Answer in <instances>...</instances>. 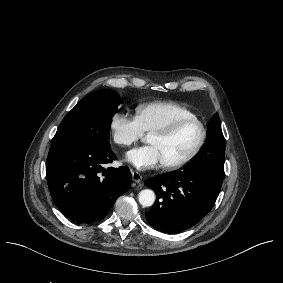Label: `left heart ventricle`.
<instances>
[{"label":"left heart ventricle","instance_id":"left-heart-ventricle-1","mask_svg":"<svg viewBox=\"0 0 283 283\" xmlns=\"http://www.w3.org/2000/svg\"><path fill=\"white\" fill-rule=\"evenodd\" d=\"M199 136V126L194 122H188L180 126L172 137L164 139L151 135L149 142L151 145L160 148L165 163H176L188 156L196 145Z\"/></svg>","mask_w":283,"mask_h":283}]
</instances>
